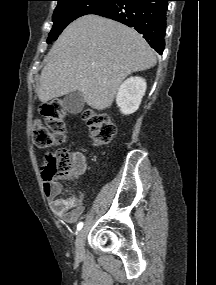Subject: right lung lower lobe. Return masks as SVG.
<instances>
[{
    "label": "right lung lower lobe",
    "mask_w": 216,
    "mask_h": 285,
    "mask_svg": "<svg viewBox=\"0 0 216 285\" xmlns=\"http://www.w3.org/2000/svg\"><path fill=\"white\" fill-rule=\"evenodd\" d=\"M170 0H113L96 14L134 27L160 55L164 50L167 2Z\"/></svg>",
    "instance_id": "1"
}]
</instances>
